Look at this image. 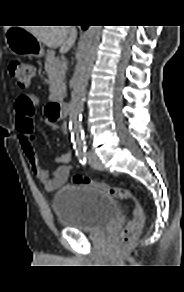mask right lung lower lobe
Segmentation results:
<instances>
[{
    "mask_svg": "<svg viewBox=\"0 0 184 292\" xmlns=\"http://www.w3.org/2000/svg\"><path fill=\"white\" fill-rule=\"evenodd\" d=\"M87 27H88V26H86V25H83V26H82V28H83L84 30L87 29Z\"/></svg>",
    "mask_w": 184,
    "mask_h": 292,
    "instance_id": "1",
    "label": "right lung lower lobe"
}]
</instances>
